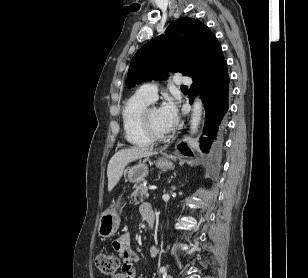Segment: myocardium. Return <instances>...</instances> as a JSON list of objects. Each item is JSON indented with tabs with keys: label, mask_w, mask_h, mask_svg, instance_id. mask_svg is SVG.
I'll list each match as a JSON object with an SVG mask.
<instances>
[{
	"label": "myocardium",
	"mask_w": 308,
	"mask_h": 278,
	"mask_svg": "<svg viewBox=\"0 0 308 278\" xmlns=\"http://www.w3.org/2000/svg\"><path fill=\"white\" fill-rule=\"evenodd\" d=\"M157 109L154 105H148L141 113L140 121L141 126L145 132V134L152 140V141H163L167 138L165 134H158L156 133L149 120V114L152 110Z\"/></svg>",
	"instance_id": "f54148a6"
}]
</instances>
